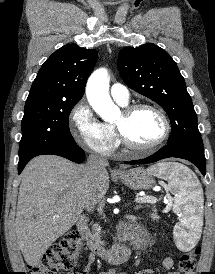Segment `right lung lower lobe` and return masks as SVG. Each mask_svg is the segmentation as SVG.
I'll return each mask as SVG.
<instances>
[{
  "label": "right lung lower lobe",
  "instance_id": "1",
  "mask_svg": "<svg viewBox=\"0 0 215 274\" xmlns=\"http://www.w3.org/2000/svg\"><path fill=\"white\" fill-rule=\"evenodd\" d=\"M45 154H52V155H58L64 158H67L73 162H77V163H82L84 161V151L77 145H72V146H67V147H59V148H54L51 150L46 151L45 153L41 154V155H45ZM29 160H19V164H18V173L20 174L21 171L23 170V168L25 167V165L30 161Z\"/></svg>",
  "mask_w": 215,
  "mask_h": 274
}]
</instances>
